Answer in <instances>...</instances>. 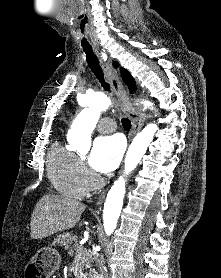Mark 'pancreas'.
I'll use <instances>...</instances> for the list:
<instances>
[{
  "mask_svg": "<svg viewBox=\"0 0 221 278\" xmlns=\"http://www.w3.org/2000/svg\"><path fill=\"white\" fill-rule=\"evenodd\" d=\"M73 242H75V243L73 244ZM53 244L65 246V249L68 250V254L71 256L72 255H80L82 266L85 267L86 269L91 268L92 263H93L92 254L88 249H85L82 246L77 244L76 236L70 235L69 233L59 235L54 240Z\"/></svg>",
  "mask_w": 221,
  "mask_h": 278,
  "instance_id": "1",
  "label": "pancreas"
}]
</instances>
